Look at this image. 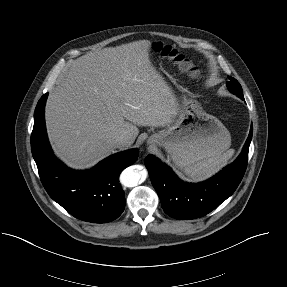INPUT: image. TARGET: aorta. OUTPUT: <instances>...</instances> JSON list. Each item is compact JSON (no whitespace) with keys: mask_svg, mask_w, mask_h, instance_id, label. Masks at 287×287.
<instances>
[{"mask_svg":"<svg viewBox=\"0 0 287 287\" xmlns=\"http://www.w3.org/2000/svg\"><path fill=\"white\" fill-rule=\"evenodd\" d=\"M141 172L134 166L126 168L120 175L121 183L126 187H135L141 180Z\"/></svg>","mask_w":287,"mask_h":287,"instance_id":"obj_1","label":"aorta"}]
</instances>
